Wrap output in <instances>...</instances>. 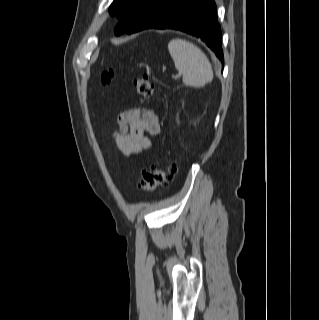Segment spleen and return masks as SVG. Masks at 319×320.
Returning <instances> with one entry per match:
<instances>
[{"mask_svg": "<svg viewBox=\"0 0 319 320\" xmlns=\"http://www.w3.org/2000/svg\"><path fill=\"white\" fill-rule=\"evenodd\" d=\"M176 69L182 73L183 83L202 87L213 79V70L206 55L194 44L176 38L168 44Z\"/></svg>", "mask_w": 319, "mask_h": 320, "instance_id": "3e777b00", "label": "spleen"}]
</instances>
